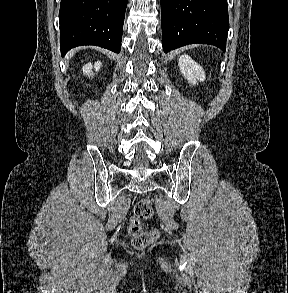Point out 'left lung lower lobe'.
Listing matches in <instances>:
<instances>
[{
    "instance_id": "obj_1",
    "label": "left lung lower lobe",
    "mask_w": 288,
    "mask_h": 293,
    "mask_svg": "<svg viewBox=\"0 0 288 293\" xmlns=\"http://www.w3.org/2000/svg\"><path fill=\"white\" fill-rule=\"evenodd\" d=\"M161 25L164 52L193 43L225 51L227 0H161Z\"/></svg>"
}]
</instances>
